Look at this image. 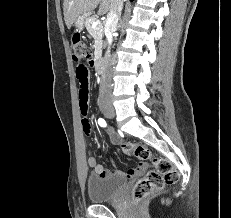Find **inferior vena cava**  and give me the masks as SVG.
<instances>
[{"label":"inferior vena cava","instance_id":"inferior-vena-cava-1","mask_svg":"<svg viewBox=\"0 0 231 218\" xmlns=\"http://www.w3.org/2000/svg\"><path fill=\"white\" fill-rule=\"evenodd\" d=\"M124 0H113L111 10L107 15L106 26L108 28L106 32V38L108 42V48L106 50L103 62V70L101 75V83L99 88V99H108L111 97V72H112V56L110 54V46L113 40V33L117 30V24L121 16Z\"/></svg>","mask_w":231,"mask_h":218}]
</instances>
